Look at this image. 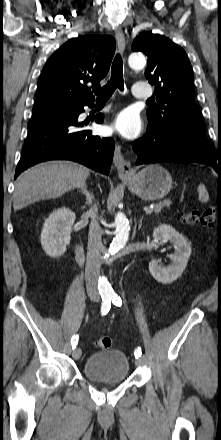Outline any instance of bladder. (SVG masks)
I'll list each match as a JSON object with an SVG mask.
<instances>
[{"label": "bladder", "mask_w": 221, "mask_h": 440, "mask_svg": "<svg viewBox=\"0 0 221 440\" xmlns=\"http://www.w3.org/2000/svg\"><path fill=\"white\" fill-rule=\"evenodd\" d=\"M130 364L124 352L105 350L88 357L84 363V376L97 383H120L128 378Z\"/></svg>", "instance_id": "31cf9c89"}]
</instances>
